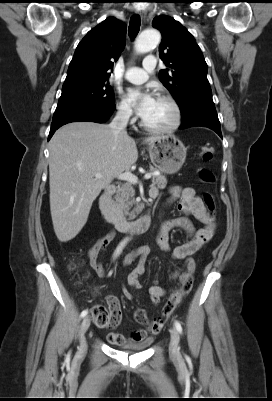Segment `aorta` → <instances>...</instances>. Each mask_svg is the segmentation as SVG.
<instances>
[{"label": "aorta", "mask_w": 272, "mask_h": 401, "mask_svg": "<svg viewBox=\"0 0 272 401\" xmlns=\"http://www.w3.org/2000/svg\"><path fill=\"white\" fill-rule=\"evenodd\" d=\"M161 35L155 29L143 31L135 44L138 53H147L153 50L160 43Z\"/></svg>", "instance_id": "1"}]
</instances>
